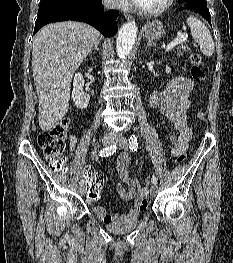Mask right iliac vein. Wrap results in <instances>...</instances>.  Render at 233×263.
Masks as SVG:
<instances>
[{
	"label": "right iliac vein",
	"instance_id": "1",
	"mask_svg": "<svg viewBox=\"0 0 233 263\" xmlns=\"http://www.w3.org/2000/svg\"><path fill=\"white\" fill-rule=\"evenodd\" d=\"M115 141H116V139L112 135H106L102 139V144L104 146H110V145L114 144ZM79 192H80L81 195H84L86 193V188L84 186H80Z\"/></svg>",
	"mask_w": 233,
	"mask_h": 263
}]
</instances>
